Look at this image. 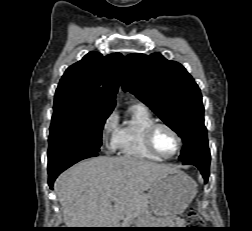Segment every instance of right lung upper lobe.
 I'll use <instances>...</instances> for the list:
<instances>
[{"instance_id":"right-lung-upper-lobe-1","label":"right lung upper lobe","mask_w":252,"mask_h":231,"mask_svg":"<svg viewBox=\"0 0 252 231\" xmlns=\"http://www.w3.org/2000/svg\"><path fill=\"white\" fill-rule=\"evenodd\" d=\"M122 59L120 53L103 56L89 52L67 68L55 92L54 104L113 110Z\"/></svg>"}]
</instances>
